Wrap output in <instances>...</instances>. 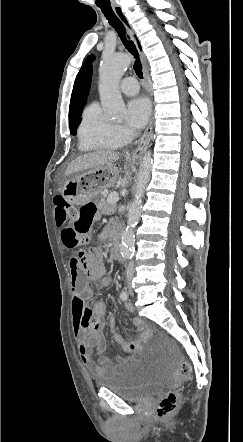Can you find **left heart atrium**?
<instances>
[{
	"label": "left heart atrium",
	"instance_id": "39dd6f15",
	"mask_svg": "<svg viewBox=\"0 0 243 442\" xmlns=\"http://www.w3.org/2000/svg\"><path fill=\"white\" fill-rule=\"evenodd\" d=\"M150 115V104L144 97L131 99L127 104V124L134 130L145 126Z\"/></svg>",
	"mask_w": 243,
	"mask_h": 442
}]
</instances>
